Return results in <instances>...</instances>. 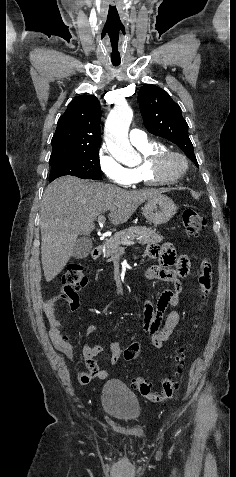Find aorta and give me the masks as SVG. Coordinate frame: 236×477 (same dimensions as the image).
Here are the masks:
<instances>
[{"instance_id": "1", "label": "aorta", "mask_w": 236, "mask_h": 477, "mask_svg": "<svg viewBox=\"0 0 236 477\" xmlns=\"http://www.w3.org/2000/svg\"><path fill=\"white\" fill-rule=\"evenodd\" d=\"M132 118V109L128 105L119 104L114 107L105 123L106 144L111 153L122 162H128L137 156L128 139Z\"/></svg>"}]
</instances>
